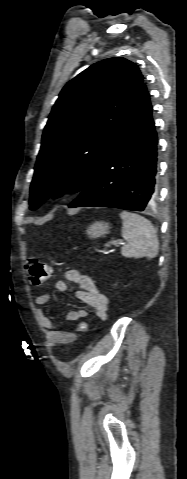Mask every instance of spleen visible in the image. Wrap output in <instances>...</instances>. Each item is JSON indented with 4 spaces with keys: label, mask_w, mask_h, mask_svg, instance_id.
<instances>
[{
    "label": "spleen",
    "mask_w": 187,
    "mask_h": 479,
    "mask_svg": "<svg viewBox=\"0 0 187 479\" xmlns=\"http://www.w3.org/2000/svg\"><path fill=\"white\" fill-rule=\"evenodd\" d=\"M120 217L123 221L122 237L126 240L121 248L122 256L155 258L159 251V241L152 223L143 216L127 211L121 212Z\"/></svg>",
    "instance_id": "3e777b00"
}]
</instances>
